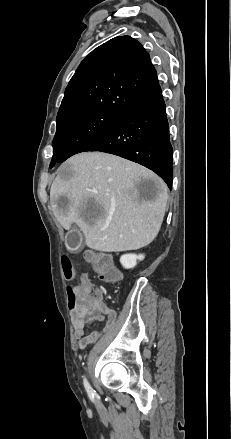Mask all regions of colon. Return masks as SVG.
I'll return each instance as SVG.
<instances>
[{"mask_svg":"<svg viewBox=\"0 0 231 439\" xmlns=\"http://www.w3.org/2000/svg\"><path fill=\"white\" fill-rule=\"evenodd\" d=\"M86 260L92 265L94 271L98 274L99 278L105 282H115L119 279L120 274L118 270L114 267L111 259L108 255L104 253H99L95 251H87L85 254ZM62 266L64 275L67 280H72L74 277V269L71 261L68 257H63ZM80 282L86 281L85 275L79 276ZM68 296H70V309L75 312L80 307V296L78 293L73 292V287H68Z\"/></svg>","mask_w":231,"mask_h":439,"instance_id":"colon-1","label":"colon"}]
</instances>
